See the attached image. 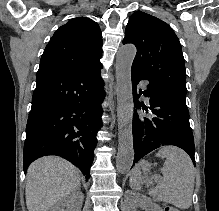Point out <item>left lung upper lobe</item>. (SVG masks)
Here are the masks:
<instances>
[{
	"mask_svg": "<svg viewBox=\"0 0 219 211\" xmlns=\"http://www.w3.org/2000/svg\"><path fill=\"white\" fill-rule=\"evenodd\" d=\"M126 43L137 48L133 71L142 73L152 84L186 102L181 44L167 23L147 13L135 12L126 26L123 44Z\"/></svg>",
	"mask_w": 219,
	"mask_h": 211,
	"instance_id": "left-lung-upper-lobe-1",
	"label": "left lung upper lobe"
}]
</instances>
